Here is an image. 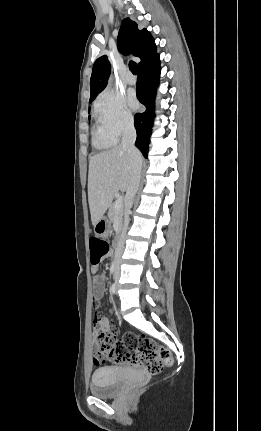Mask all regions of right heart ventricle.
Segmentation results:
<instances>
[{"label":"right heart ventricle","mask_w":261,"mask_h":431,"mask_svg":"<svg viewBox=\"0 0 261 431\" xmlns=\"http://www.w3.org/2000/svg\"><path fill=\"white\" fill-rule=\"evenodd\" d=\"M94 144L97 148L108 149L117 142V137L110 134L102 124V121L96 113V127L93 133Z\"/></svg>","instance_id":"1"}]
</instances>
